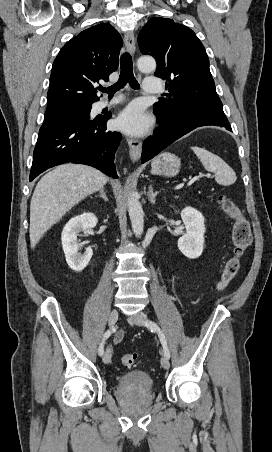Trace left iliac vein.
Instances as JSON below:
<instances>
[{
  "mask_svg": "<svg viewBox=\"0 0 272 452\" xmlns=\"http://www.w3.org/2000/svg\"><path fill=\"white\" fill-rule=\"evenodd\" d=\"M130 322H133L139 326H145V321L147 319V316L145 313L143 312H138L137 314H135L134 316H131L128 318ZM161 366L164 369H169L170 367V362L169 359L166 356H163L161 358Z\"/></svg>",
  "mask_w": 272,
  "mask_h": 452,
  "instance_id": "1",
  "label": "left iliac vein"
}]
</instances>
